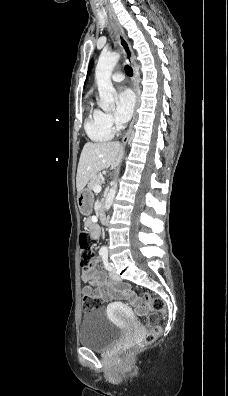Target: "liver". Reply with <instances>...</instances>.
<instances>
[{
	"label": "liver",
	"mask_w": 228,
	"mask_h": 396,
	"mask_svg": "<svg viewBox=\"0 0 228 396\" xmlns=\"http://www.w3.org/2000/svg\"><path fill=\"white\" fill-rule=\"evenodd\" d=\"M123 147L119 142H87L81 152L76 178L77 192L101 170L115 169L122 160Z\"/></svg>",
	"instance_id": "1"
}]
</instances>
